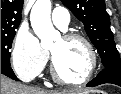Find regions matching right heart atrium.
I'll list each match as a JSON object with an SVG mask.
<instances>
[{
  "label": "right heart atrium",
  "instance_id": "right-heart-atrium-1",
  "mask_svg": "<svg viewBox=\"0 0 121 94\" xmlns=\"http://www.w3.org/2000/svg\"><path fill=\"white\" fill-rule=\"evenodd\" d=\"M49 59L48 52L30 31L19 32L13 42L11 61L15 73L23 80L38 76Z\"/></svg>",
  "mask_w": 121,
  "mask_h": 94
}]
</instances>
